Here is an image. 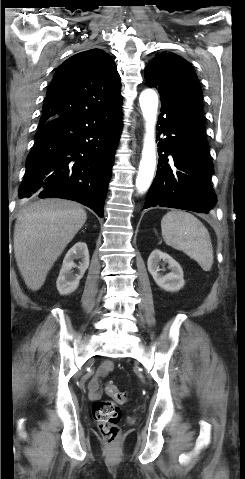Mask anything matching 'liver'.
Wrapping results in <instances>:
<instances>
[{
  "instance_id": "1",
  "label": "liver",
  "mask_w": 245,
  "mask_h": 479,
  "mask_svg": "<svg viewBox=\"0 0 245 479\" xmlns=\"http://www.w3.org/2000/svg\"><path fill=\"white\" fill-rule=\"evenodd\" d=\"M87 220L77 203L44 199L21 208L14 228V254L27 287L39 290L55 261Z\"/></svg>"
}]
</instances>
